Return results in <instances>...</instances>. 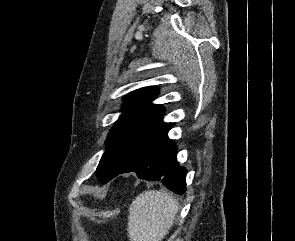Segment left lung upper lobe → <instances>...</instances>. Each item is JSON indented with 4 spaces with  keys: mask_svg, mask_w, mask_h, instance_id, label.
Returning a JSON list of instances; mask_svg holds the SVG:
<instances>
[{
    "mask_svg": "<svg viewBox=\"0 0 295 241\" xmlns=\"http://www.w3.org/2000/svg\"><path fill=\"white\" fill-rule=\"evenodd\" d=\"M158 94L157 87H144L124 98L125 109L107 137V150L96 170L102 183L111 180L127 163L140 155L156 140L167 134L171 124L162 121L164 109L150 102Z\"/></svg>",
    "mask_w": 295,
    "mask_h": 241,
    "instance_id": "5c2ea615",
    "label": "left lung upper lobe"
}]
</instances>
